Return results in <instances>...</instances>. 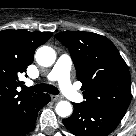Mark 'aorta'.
I'll return each mask as SVG.
<instances>
[{
	"mask_svg": "<svg viewBox=\"0 0 136 136\" xmlns=\"http://www.w3.org/2000/svg\"><path fill=\"white\" fill-rule=\"evenodd\" d=\"M35 58L39 65L49 67L54 64L56 53L53 48L42 46L36 51ZM55 110L60 117H67L72 113V105L68 101H60Z\"/></svg>",
	"mask_w": 136,
	"mask_h": 136,
	"instance_id": "1",
	"label": "aorta"
}]
</instances>
